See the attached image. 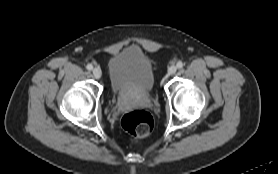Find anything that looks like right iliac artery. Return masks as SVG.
<instances>
[{"instance_id":"obj_1","label":"right iliac artery","mask_w":278,"mask_h":174,"mask_svg":"<svg viewBox=\"0 0 278 174\" xmlns=\"http://www.w3.org/2000/svg\"><path fill=\"white\" fill-rule=\"evenodd\" d=\"M86 68L91 71L93 69V66L91 64H88Z\"/></svg>"}]
</instances>
